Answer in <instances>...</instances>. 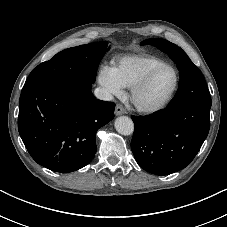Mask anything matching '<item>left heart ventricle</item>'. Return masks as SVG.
Here are the masks:
<instances>
[{
    "label": "left heart ventricle",
    "mask_w": 227,
    "mask_h": 227,
    "mask_svg": "<svg viewBox=\"0 0 227 227\" xmlns=\"http://www.w3.org/2000/svg\"><path fill=\"white\" fill-rule=\"evenodd\" d=\"M175 85V73L166 68L158 72L138 96V102L143 106H155L161 103L172 91Z\"/></svg>",
    "instance_id": "b2bd125f"
}]
</instances>
